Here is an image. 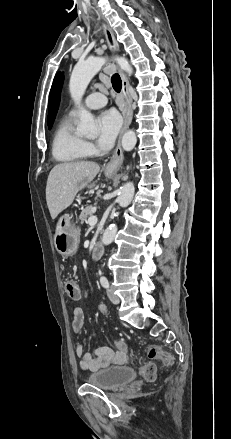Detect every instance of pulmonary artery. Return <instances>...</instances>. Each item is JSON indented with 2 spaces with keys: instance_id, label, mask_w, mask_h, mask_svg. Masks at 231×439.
<instances>
[{
  "instance_id": "e3ab8cb5",
  "label": "pulmonary artery",
  "mask_w": 231,
  "mask_h": 439,
  "mask_svg": "<svg viewBox=\"0 0 231 439\" xmlns=\"http://www.w3.org/2000/svg\"><path fill=\"white\" fill-rule=\"evenodd\" d=\"M84 104L87 108L98 109L107 104V98L103 93L92 92L86 97ZM75 114V109L71 110L69 113L70 116H74Z\"/></svg>"
}]
</instances>
